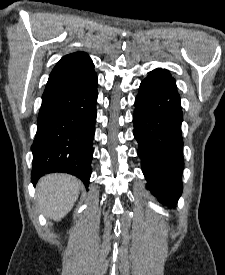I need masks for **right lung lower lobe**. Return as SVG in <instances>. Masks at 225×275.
<instances>
[{
	"mask_svg": "<svg viewBox=\"0 0 225 275\" xmlns=\"http://www.w3.org/2000/svg\"><path fill=\"white\" fill-rule=\"evenodd\" d=\"M97 85L95 74L90 84L42 95L37 133L31 146L33 183L46 173L64 172L75 175L88 186Z\"/></svg>",
	"mask_w": 225,
	"mask_h": 275,
	"instance_id": "right-lung-lower-lobe-1",
	"label": "right lung lower lobe"
}]
</instances>
